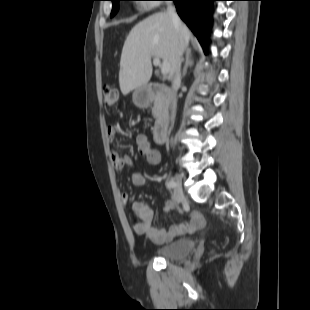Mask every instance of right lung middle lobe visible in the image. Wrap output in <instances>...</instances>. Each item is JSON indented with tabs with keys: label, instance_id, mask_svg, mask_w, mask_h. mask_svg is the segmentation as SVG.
Instances as JSON below:
<instances>
[{
	"label": "right lung middle lobe",
	"instance_id": "obj_1",
	"mask_svg": "<svg viewBox=\"0 0 310 310\" xmlns=\"http://www.w3.org/2000/svg\"><path fill=\"white\" fill-rule=\"evenodd\" d=\"M111 1L113 3V7H112V11H111V17H112V16H114L117 13V11L119 9L118 2L121 1V0H111Z\"/></svg>",
	"mask_w": 310,
	"mask_h": 310
}]
</instances>
